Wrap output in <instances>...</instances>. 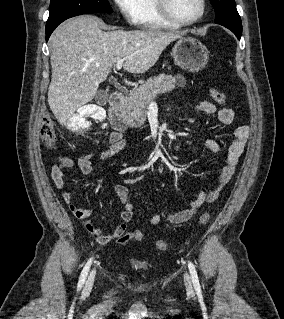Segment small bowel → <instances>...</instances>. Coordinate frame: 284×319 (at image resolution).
Listing matches in <instances>:
<instances>
[{
    "label": "small bowel",
    "mask_w": 284,
    "mask_h": 319,
    "mask_svg": "<svg viewBox=\"0 0 284 319\" xmlns=\"http://www.w3.org/2000/svg\"><path fill=\"white\" fill-rule=\"evenodd\" d=\"M196 109L204 114L216 115L218 120L224 125L232 124L235 118V113L232 109H218L210 101H202L198 103L196 105ZM248 132L249 129L246 126H240L235 129L232 140L224 154L225 164L219 173L217 184L212 190L208 192L201 190L197 194V197L189 204V206L180 211H162L161 213L146 215L148 222L151 225H158L163 219H165L173 224L183 223L191 219L204 203L215 202L219 198L223 188L229 183L234 174L235 167L245 148ZM108 142L109 147L102 154L104 159L110 158L119 153L127 145L126 141L122 139V136L119 132L110 133L108 136ZM205 145L212 152L219 153L221 151L220 146L214 140H207ZM92 156V152H86L79 156L77 160V165L84 175L91 176L93 174V167L91 164ZM73 166L74 160L72 158L61 155L56 159V163L51 169L52 179L57 188L63 191L62 198L68 205L73 215L82 221L84 228L98 243L104 244L114 238L118 239L119 237L123 236L127 225L131 221L134 214V205L128 200V188L124 185H116L115 187L116 195L120 203L123 205V211L121 212V223L111 234H107L98 229L89 220L91 211L89 209L77 207L73 203L71 194L65 190L63 173L66 169H70Z\"/></svg>",
    "instance_id": "obj_1"
}]
</instances>
